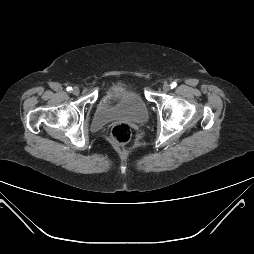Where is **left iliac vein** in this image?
<instances>
[{
	"instance_id": "4c4485c4",
	"label": "left iliac vein",
	"mask_w": 254,
	"mask_h": 254,
	"mask_svg": "<svg viewBox=\"0 0 254 254\" xmlns=\"http://www.w3.org/2000/svg\"><path fill=\"white\" fill-rule=\"evenodd\" d=\"M169 90H170V85L164 84V85H163V91H164V92H168Z\"/></svg>"
}]
</instances>
